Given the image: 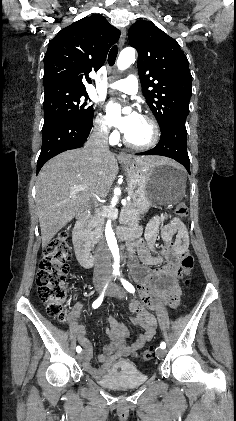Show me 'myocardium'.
Instances as JSON below:
<instances>
[{"mask_svg": "<svg viewBox=\"0 0 236 421\" xmlns=\"http://www.w3.org/2000/svg\"><path fill=\"white\" fill-rule=\"evenodd\" d=\"M140 117L142 119H144L149 124V126L151 127L152 137H151L150 141L145 143V144H136V143L131 142L127 138L126 135L124 136L123 141H124L126 146H128L132 149L139 150V151H147V150H150V149L154 148L158 144V142L160 140V136H161L160 128H159L158 124L155 122V120H153L151 117H149L147 115H141Z\"/></svg>", "mask_w": 236, "mask_h": 421, "instance_id": "obj_1", "label": "myocardium"}]
</instances>
